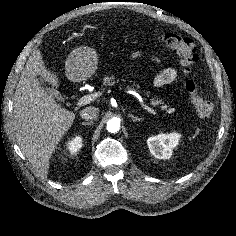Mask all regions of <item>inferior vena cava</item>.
<instances>
[{"mask_svg":"<svg viewBox=\"0 0 236 236\" xmlns=\"http://www.w3.org/2000/svg\"><path fill=\"white\" fill-rule=\"evenodd\" d=\"M99 115V108L94 106L85 107L80 111V116L85 120H93Z\"/></svg>","mask_w":236,"mask_h":236,"instance_id":"inferior-vena-cava-1","label":"inferior vena cava"}]
</instances>
